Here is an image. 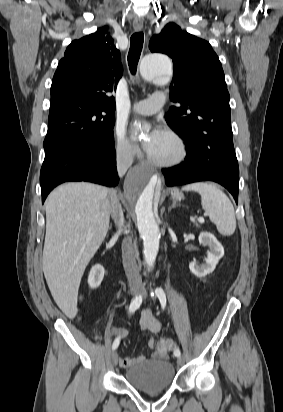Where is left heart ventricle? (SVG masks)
Masks as SVG:
<instances>
[{"label":"left heart ventricle","mask_w":283,"mask_h":412,"mask_svg":"<svg viewBox=\"0 0 283 412\" xmlns=\"http://www.w3.org/2000/svg\"><path fill=\"white\" fill-rule=\"evenodd\" d=\"M148 153L156 160L170 161L178 155L179 148L176 141L164 132Z\"/></svg>","instance_id":"obj_1"}]
</instances>
